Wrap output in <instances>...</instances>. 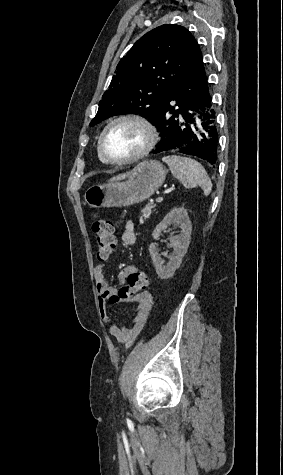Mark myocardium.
Instances as JSON below:
<instances>
[{
  "label": "myocardium",
  "mask_w": 283,
  "mask_h": 475,
  "mask_svg": "<svg viewBox=\"0 0 283 475\" xmlns=\"http://www.w3.org/2000/svg\"><path fill=\"white\" fill-rule=\"evenodd\" d=\"M121 121H134L143 125L148 132V139L145 145L143 146V148L136 154L123 157V158H111L107 156V154L104 151L103 139L107 131L113 125ZM156 141H157V129L155 125L153 124V122L149 118L143 115L130 113V114L120 115L112 119L110 122L106 124V126L103 128V130L101 131L99 135L97 147H98L100 156L105 162H130V164H132V163H137L141 161L142 159H144L145 157H147L149 153L153 150L156 144Z\"/></svg>",
  "instance_id": "1"
}]
</instances>
